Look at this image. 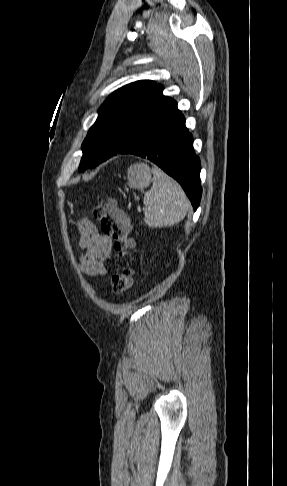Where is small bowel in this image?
<instances>
[{"label": "small bowel", "mask_w": 287, "mask_h": 486, "mask_svg": "<svg viewBox=\"0 0 287 486\" xmlns=\"http://www.w3.org/2000/svg\"><path fill=\"white\" fill-rule=\"evenodd\" d=\"M78 245L82 250L78 269L87 276H105L107 261L113 256L112 241L107 235L101 234L97 226L87 217L79 218Z\"/></svg>", "instance_id": "1"}]
</instances>
